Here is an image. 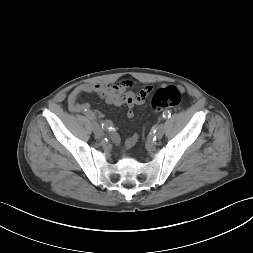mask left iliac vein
<instances>
[{
    "label": "left iliac vein",
    "instance_id": "4c4485c4",
    "mask_svg": "<svg viewBox=\"0 0 253 253\" xmlns=\"http://www.w3.org/2000/svg\"><path fill=\"white\" fill-rule=\"evenodd\" d=\"M164 135V125L163 124H160L158 127H157V130H156V133H155V137L157 139H161Z\"/></svg>",
    "mask_w": 253,
    "mask_h": 253
}]
</instances>
